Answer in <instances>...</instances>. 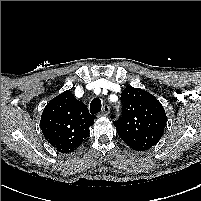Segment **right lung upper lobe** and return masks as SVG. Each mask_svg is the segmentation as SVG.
<instances>
[{"mask_svg": "<svg viewBox=\"0 0 201 201\" xmlns=\"http://www.w3.org/2000/svg\"><path fill=\"white\" fill-rule=\"evenodd\" d=\"M86 105L77 100L70 90L53 98L44 108L40 128L45 139L59 152L77 149L89 135L94 124Z\"/></svg>", "mask_w": 201, "mask_h": 201, "instance_id": "obj_1", "label": "right lung upper lobe"}]
</instances>
